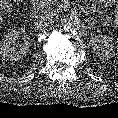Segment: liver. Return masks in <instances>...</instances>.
I'll use <instances>...</instances> for the list:
<instances>
[{"instance_id":"obj_1","label":"liver","mask_w":118,"mask_h":118,"mask_svg":"<svg viewBox=\"0 0 118 118\" xmlns=\"http://www.w3.org/2000/svg\"><path fill=\"white\" fill-rule=\"evenodd\" d=\"M3 21V18H2V16L0 15V23Z\"/></svg>"}]
</instances>
